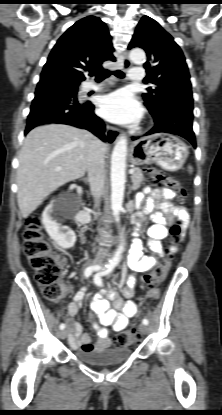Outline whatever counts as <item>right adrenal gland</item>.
I'll use <instances>...</instances> for the list:
<instances>
[{
  "mask_svg": "<svg viewBox=\"0 0 222 415\" xmlns=\"http://www.w3.org/2000/svg\"><path fill=\"white\" fill-rule=\"evenodd\" d=\"M84 182H85V183H88L89 181H88V179H87V178H84Z\"/></svg>",
  "mask_w": 222,
  "mask_h": 415,
  "instance_id": "obj_1",
  "label": "right adrenal gland"
}]
</instances>
